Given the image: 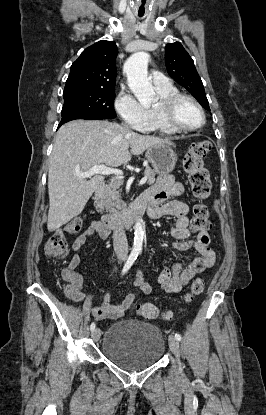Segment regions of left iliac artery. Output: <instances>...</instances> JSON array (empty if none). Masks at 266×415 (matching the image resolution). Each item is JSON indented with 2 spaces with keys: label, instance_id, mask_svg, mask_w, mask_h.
Listing matches in <instances>:
<instances>
[{
  "label": "left iliac artery",
  "instance_id": "left-iliac-artery-1",
  "mask_svg": "<svg viewBox=\"0 0 266 415\" xmlns=\"http://www.w3.org/2000/svg\"><path fill=\"white\" fill-rule=\"evenodd\" d=\"M175 338L180 341L181 340V335L179 333H175Z\"/></svg>",
  "mask_w": 266,
  "mask_h": 415
}]
</instances>
